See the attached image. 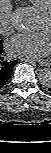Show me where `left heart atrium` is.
I'll list each match as a JSON object with an SVG mask.
<instances>
[{
    "mask_svg": "<svg viewBox=\"0 0 51 153\" xmlns=\"http://www.w3.org/2000/svg\"><path fill=\"white\" fill-rule=\"evenodd\" d=\"M6 47L12 56L22 59H39L51 50V34L42 30L34 34H18L7 41Z\"/></svg>",
    "mask_w": 51,
    "mask_h": 153,
    "instance_id": "obj_1",
    "label": "left heart atrium"
}]
</instances>
